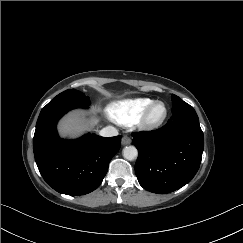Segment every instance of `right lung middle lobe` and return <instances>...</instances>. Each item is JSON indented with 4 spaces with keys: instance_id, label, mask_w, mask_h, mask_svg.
Returning a JSON list of instances; mask_svg holds the SVG:
<instances>
[{
    "instance_id": "dd1d6c3e",
    "label": "right lung middle lobe",
    "mask_w": 243,
    "mask_h": 243,
    "mask_svg": "<svg viewBox=\"0 0 243 243\" xmlns=\"http://www.w3.org/2000/svg\"><path fill=\"white\" fill-rule=\"evenodd\" d=\"M54 104L88 107L90 100L89 97L85 96L82 92L75 89H69L57 95L46 106Z\"/></svg>"
}]
</instances>
